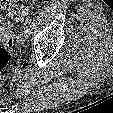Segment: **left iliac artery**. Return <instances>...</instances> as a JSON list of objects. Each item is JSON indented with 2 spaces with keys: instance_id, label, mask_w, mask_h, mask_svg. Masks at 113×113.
Listing matches in <instances>:
<instances>
[{
  "instance_id": "left-iliac-artery-1",
  "label": "left iliac artery",
  "mask_w": 113,
  "mask_h": 113,
  "mask_svg": "<svg viewBox=\"0 0 113 113\" xmlns=\"http://www.w3.org/2000/svg\"><path fill=\"white\" fill-rule=\"evenodd\" d=\"M30 22H31V18L28 17V18H26L25 24H24L25 25L24 29H26V33L28 34V37H30V34H31V30L28 26V24H30Z\"/></svg>"
}]
</instances>
